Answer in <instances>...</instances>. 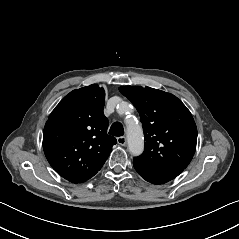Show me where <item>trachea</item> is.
<instances>
[{"mask_svg":"<svg viewBox=\"0 0 239 239\" xmlns=\"http://www.w3.org/2000/svg\"><path fill=\"white\" fill-rule=\"evenodd\" d=\"M109 134L116 137L123 136L124 135L123 125L119 122L113 123L109 129Z\"/></svg>","mask_w":239,"mask_h":239,"instance_id":"obj_1","label":"trachea"}]
</instances>
